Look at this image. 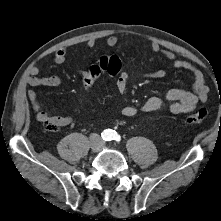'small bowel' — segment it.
Instances as JSON below:
<instances>
[{"instance_id":"obj_1","label":"small bowel","mask_w":221,"mask_h":221,"mask_svg":"<svg viewBox=\"0 0 221 221\" xmlns=\"http://www.w3.org/2000/svg\"><path fill=\"white\" fill-rule=\"evenodd\" d=\"M118 39L116 36H109L106 39V45L108 47H114L117 45ZM95 44L94 40L87 42L88 47H93ZM150 49L152 52L160 53L167 58L172 65L177 69L189 71L193 76V88L192 90H186L183 88L170 89L165 98L150 97L140 107L143 112H153L162 109L167 102L169 109L174 114H182L193 111L198 103L204 102L208 96V87L205 83L203 73L193 64L177 57L173 52L169 50L161 49L157 43H151ZM67 60V49L60 48L54 55V62L57 65H62ZM78 74L84 81L88 76L89 69H78ZM32 75L27 79V83L32 87L47 86V87H58L61 85L62 80L59 76L52 75L48 77L38 76L39 68L34 66L31 68ZM145 78L159 79L165 76L163 70H157L148 72L143 75ZM130 74L127 72H120L116 80V88L119 93H125L128 82L130 80ZM27 97L31 103L32 109L36 114L39 121L44 122L47 117H53L56 119L59 126H67L71 123V118L68 116H51L43 107L41 102L38 100L35 91L28 90ZM138 113V109L132 105H126L122 108L123 116L127 118L134 117Z\"/></svg>"}]
</instances>
